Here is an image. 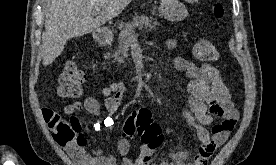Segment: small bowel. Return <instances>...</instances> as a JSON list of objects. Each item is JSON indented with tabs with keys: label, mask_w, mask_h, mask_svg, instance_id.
Listing matches in <instances>:
<instances>
[{
	"label": "small bowel",
	"mask_w": 276,
	"mask_h": 165,
	"mask_svg": "<svg viewBox=\"0 0 276 165\" xmlns=\"http://www.w3.org/2000/svg\"><path fill=\"white\" fill-rule=\"evenodd\" d=\"M177 41H169L171 48L175 47ZM174 68L186 74L190 79L187 92L189 94L187 107L183 111V117L187 124L196 132L201 141L199 154L192 162L188 161V154L185 151L172 153L169 158H162L158 165H207L214 152L222 146L229 134L234 129L239 118L234 108L227 87L217 67L205 63L201 66L183 57L170 59ZM125 92L122 81H116L105 86L101 94L104 97V108L108 116L100 122L92 124L93 130L113 125V115L120 108ZM102 105L94 96H88L83 101H75L64 107L63 112L69 116V120L76 122L80 128L81 124L77 112L85 110L93 116L101 114ZM54 111L44 108L43 117L48 123L46 114ZM215 118L220 121L212 127L211 134L206 126L213 124ZM86 139L81 133V143L64 146L66 152L76 165H152L154 164L152 150L144 147L136 159L128 157L130 143L122 138L117 142V155H106L101 150H94L91 153L85 150Z\"/></svg>",
	"instance_id": "c3829d8e"
}]
</instances>
